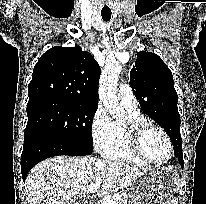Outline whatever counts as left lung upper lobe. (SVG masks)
Wrapping results in <instances>:
<instances>
[{
	"mask_svg": "<svg viewBox=\"0 0 206 204\" xmlns=\"http://www.w3.org/2000/svg\"><path fill=\"white\" fill-rule=\"evenodd\" d=\"M130 86L142 110L169 135L174 154L182 152L178 96L167 65L154 53L138 52L130 71Z\"/></svg>",
	"mask_w": 206,
	"mask_h": 204,
	"instance_id": "obj_1",
	"label": "left lung upper lobe"
}]
</instances>
